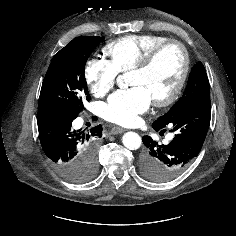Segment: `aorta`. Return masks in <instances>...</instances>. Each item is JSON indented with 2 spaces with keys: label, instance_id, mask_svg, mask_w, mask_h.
I'll list each match as a JSON object with an SVG mask.
<instances>
[{
  "label": "aorta",
  "instance_id": "aorta-1",
  "mask_svg": "<svg viewBox=\"0 0 236 236\" xmlns=\"http://www.w3.org/2000/svg\"><path fill=\"white\" fill-rule=\"evenodd\" d=\"M117 83L119 86L124 85V80L122 76L117 78ZM123 145L129 150H136L141 146V137L135 132H127L122 137Z\"/></svg>",
  "mask_w": 236,
  "mask_h": 236
}]
</instances>
